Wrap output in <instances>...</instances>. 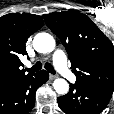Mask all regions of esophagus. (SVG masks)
Listing matches in <instances>:
<instances>
[{"label":"esophagus","mask_w":114,"mask_h":114,"mask_svg":"<svg viewBox=\"0 0 114 114\" xmlns=\"http://www.w3.org/2000/svg\"><path fill=\"white\" fill-rule=\"evenodd\" d=\"M49 77H50V79H52V80L57 78V76H56V75H53V74H50Z\"/></svg>","instance_id":"1"}]
</instances>
